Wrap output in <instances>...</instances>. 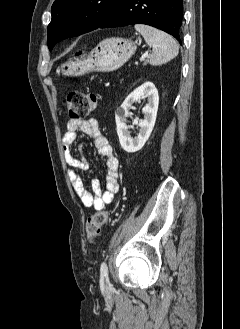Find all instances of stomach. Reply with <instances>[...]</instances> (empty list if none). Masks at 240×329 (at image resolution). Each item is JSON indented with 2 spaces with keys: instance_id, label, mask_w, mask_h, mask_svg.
<instances>
[{
  "instance_id": "1",
  "label": "stomach",
  "mask_w": 240,
  "mask_h": 329,
  "mask_svg": "<svg viewBox=\"0 0 240 329\" xmlns=\"http://www.w3.org/2000/svg\"><path fill=\"white\" fill-rule=\"evenodd\" d=\"M136 51V44L123 38H108L100 42L85 58L61 63L57 72L78 76L92 71L110 72L120 68Z\"/></svg>"
}]
</instances>
